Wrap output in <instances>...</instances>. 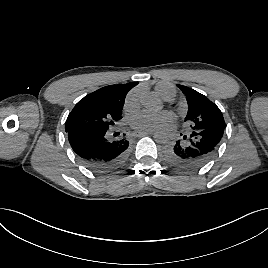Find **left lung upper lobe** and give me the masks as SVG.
<instances>
[{
	"label": "left lung upper lobe",
	"instance_id": "obj_1",
	"mask_svg": "<svg viewBox=\"0 0 268 268\" xmlns=\"http://www.w3.org/2000/svg\"><path fill=\"white\" fill-rule=\"evenodd\" d=\"M185 94L188 102V113L185 121L191 131L224 129L225 121L216 104L206 96L183 85H177Z\"/></svg>",
	"mask_w": 268,
	"mask_h": 268
}]
</instances>
